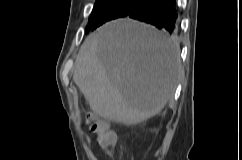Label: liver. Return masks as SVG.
Here are the masks:
<instances>
[{
    "instance_id": "1",
    "label": "liver",
    "mask_w": 242,
    "mask_h": 160,
    "mask_svg": "<svg viewBox=\"0 0 242 160\" xmlns=\"http://www.w3.org/2000/svg\"><path fill=\"white\" fill-rule=\"evenodd\" d=\"M180 71L175 39L143 23L118 19L85 39L73 80L94 113L134 125L162 111Z\"/></svg>"
}]
</instances>
